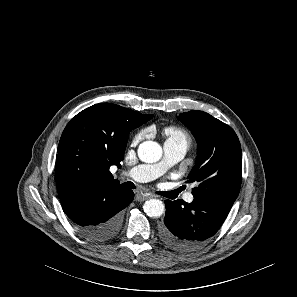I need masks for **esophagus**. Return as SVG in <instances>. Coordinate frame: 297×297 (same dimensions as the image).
<instances>
[{"label":"esophagus","instance_id":"obj_1","mask_svg":"<svg viewBox=\"0 0 297 297\" xmlns=\"http://www.w3.org/2000/svg\"><path fill=\"white\" fill-rule=\"evenodd\" d=\"M152 196L153 195L150 194V193H137L136 196H135V198H136L137 201L143 202V201L151 198Z\"/></svg>","mask_w":297,"mask_h":297}]
</instances>
